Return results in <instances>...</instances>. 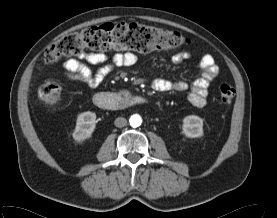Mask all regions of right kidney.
Listing matches in <instances>:
<instances>
[{
	"label": "right kidney",
	"instance_id": "1",
	"mask_svg": "<svg viewBox=\"0 0 277 218\" xmlns=\"http://www.w3.org/2000/svg\"><path fill=\"white\" fill-rule=\"evenodd\" d=\"M96 114L90 111L78 115L73 138L77 143L89 139L95 129Z\"/></svg>",
	"mask_w": 277,
	"mask_h": 218
}]
</instances>
